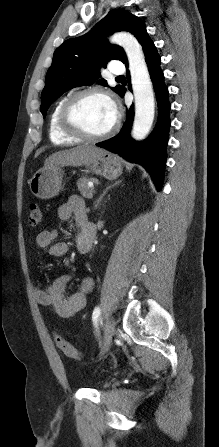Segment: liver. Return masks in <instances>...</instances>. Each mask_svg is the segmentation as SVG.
I'll use <instances>...</instances> for the list:
<instances>
[{
	"mask_svg": "<svg viewBox=\"0 0 219 447\" xmlns=\"http://www.w3.org/2000/svg\"><path fill=\"white\" fill-rule=\"evenodd\" d=\"M104 152L103 149L94 146L81 145L53 153L45 160L44 167L53 165L73 167L89 165Z\"/></svg>",
	"mask_w": 219,
	"mask_h": 447,
	"instance_id": "obj_1",
	"label": "liver"
}]
</instances>
